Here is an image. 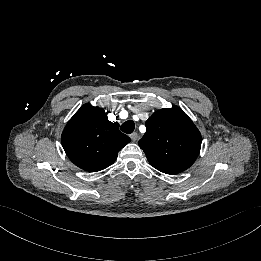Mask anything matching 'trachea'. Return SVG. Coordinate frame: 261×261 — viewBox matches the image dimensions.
<instances>
[{"label": "trachea", "mask_w": 261, "mask_h": 261, "mask_svg": "<svg viewBox=\"0 0 261 261\" xmlns=\"http://www.w3.org/2000/svg\"><path fill=\"white\" fill-rule=\"evenodd\" d=\"M120 129L126 134H131L135 129V123L132 120H127L121 125Z\"/></svg>", "instance_id": "trachea-1"}]
</instances>
